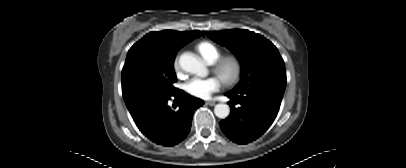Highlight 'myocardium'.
Wrapping results in <instances>:
<instances>
[{"instance_id": "1", "label": "myocardium", "mask_w": 406, "mask_h": 168, "mask_svg": "<svg viewBox=\"0 0 406 168\" xmlns=\"http://www.w3.org/2000/svg\"><path fill=\"white\" fill-rule=\"evenodd\" d=\"M213 71L225 85L233 86L241 79L243 63L236 55H226L214 62Z\"/></svg>"}]
</instances>
